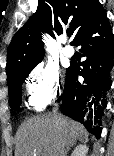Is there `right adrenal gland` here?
Segmentation results:
<instances>
[{
    "label": "right adrenal gland",
    "mask_w": 114,
    "mask_h": 156,
    "mask_svg": "<svg viewBox=\"0 0 114 156\" xmlns=\"http://www.w3.org/2000/svg\"><path fill=\"white\" fill-rule=\"evenodd\" d=\"M79 141H80V142H83V139L80 138ZM75 144H76V143H73V144H71L69 147H67V149H66V156H67V153L70 151L71 147H73Z\"/></svg>",
    "instance_id": "right-adrenal-gland-1"
}]
</instances>
